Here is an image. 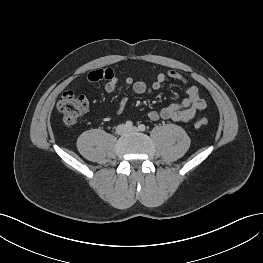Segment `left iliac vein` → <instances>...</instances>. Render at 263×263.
Segmentation results:
<instances>
[{"mask_svg": "<svg viewBox=\"0 0 263 263\" xmlns=\"http://www.w3.org/2000/svg\"><path fill=\"white\" fill-rule=\"evenodd\" d=\"M127 131L128 132H137L138 129H137V127H131V128H128Z\"/></svg>", "mask_w": 263, "mask_h": 263, "instance_id": "obj_1", "label": "left iliac vein"}]
</instances>
